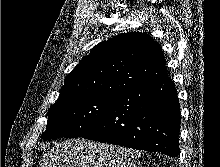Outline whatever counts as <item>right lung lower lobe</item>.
<instances>
[{
	"label": "right lung lower lobe",
	"instance_id": "right-lung-lower-lobe-1",
	"mask_svg": "<svg viewBox=\"0 0 220 167\" xmlns=\"http://www.w3.org/2000/svg\"><path fill=\"white\" fill-rule=\"evenodd\" d=\"M180 119L175 86L165 76L116 95L104 116L81 137L177 157Z\"/></svg>",
	"mask_w": 220,
	"mask_h": 167
}]
</instances>
